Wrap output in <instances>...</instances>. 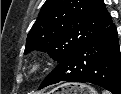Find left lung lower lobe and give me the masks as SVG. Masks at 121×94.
<instances>
[{"instance_id": "obj_1", "label": "left lung lower lobe", "mask_w": 121, "mask_h": 94, "mask_svg": "<svg viewBox=\"0 0 121 94\" xmlns=\"http://www.w3.org/2000/svg\"><path fill=\"white\" fill-rule=\"evenodd\" d=\"M62 81L89 82L113 94H121L120 48L113 23L71 52L39 89Z\"/></svg>"}]
</instances>
